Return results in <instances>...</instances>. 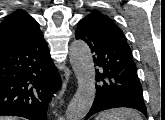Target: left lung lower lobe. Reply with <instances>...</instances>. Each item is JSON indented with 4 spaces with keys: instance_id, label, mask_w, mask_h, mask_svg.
I'll return each mask as SVG.
<instances>
[{
    "instance_id": "obj_1",
    "label": "left lung lower lobe",
    "mask_w": 165,
    "mask_h": 120,
    "mask_svg": "<svg viewBox=\"0 0 165 120\" xmlns=\"http://www.w3.org/2000/svg\"><path fill=\"white\" fill-rule=\"evenodd\" d=\"M77 39L87 43L96 69V96L87 118L102 110L130 107L146 115L142 86L129 46L99 30L93 20L78 22Z\"/></svg>"
}]
</instances>
